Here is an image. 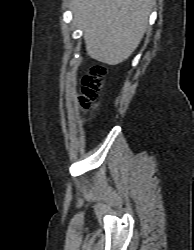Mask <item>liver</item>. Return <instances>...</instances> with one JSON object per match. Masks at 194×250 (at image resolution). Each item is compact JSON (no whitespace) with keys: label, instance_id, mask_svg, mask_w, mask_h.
I'll return each mask as SVG.
<instances>
[{"label":"liver","instance_id":"6515ba94","mask_svg":"<svg viewBox=\"0 0 194 250\" xmlns=\"http://www.w3.org/2000/svg\"><path fill=\"white\" fill-rule=\"evenodd\" d=\"M153 0H70L87 54L108 65L134 52L148 26Z\"/></svg>","mask_w":194,"mask_h":250}]
</instances>
